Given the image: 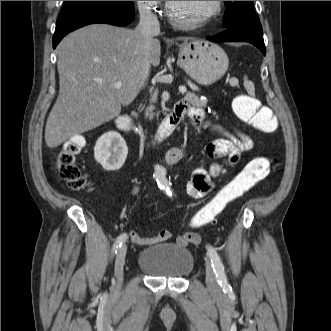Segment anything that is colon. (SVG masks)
I'll return each instance as SVG.
<instances>
[{"label":"colon","instance_id":"1","mask_svg":"<svg viewBox=\"0 0 331 331\" xmlns=\"http://www.w3.org/2000/svg\"><path fill=\"white\" fill-rule=\"evenodd\" d=\"M236 116L251 128L272 133L278 128V121L274 113L250 94H242L233 100ZM84 146V140L73 137L64 143L55 156V169L59 177L72 190H81L87 186V179L82 173L77 156ZM271 163L266 157H256L250 161L237 175H235L218 193L199 209L191 220L194 227L204 226L216 221L217 217L232 202L242 198L270 173ZM186 243L199 244L200 236L187 233L181 237Z\"/></svg>","mask_w":331,"mask_h":331}]
</instances>
